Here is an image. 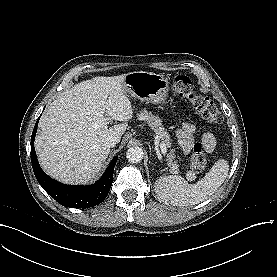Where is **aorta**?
I'll use <instances>...</instances> for the list:
<instances>
[{"instance_id":"aorta-1","label":"aorta","mask_w":277,"mask_h":277,"mask_svg":"<svg viewBox=\"0 0 277 277\" xmlns=\"http://www.w3.org/2000/svg\"><path fill=\"white\" fill-rule=\"evenodd\" d=\"M143 155V150L140 147H130L126 152V157L131 163H140Z\"/></svg>"}]
</instances>
